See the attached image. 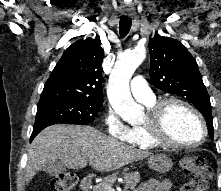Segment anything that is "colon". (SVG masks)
Listing matches in <instances>:
<instances>
[{
	"label": "colon",
	"mask_w": 221,
	"mask_h": 191,
	"mask_svg": "<svg viewBox=\"0 0 221 191\" xmlns=\"http://www.w3.org/2000/svg\"><path fill=\"white\" fill-rule=\"evenodd\" d=\"M180 167L184 174L190 176L182 191H207L212 177V168L199 156H186L180 160ZM77 182L73 173L65 172L55 176L50 182L51 191H72Z\"/></svg>",
	"instance_id": "1"
}]
</instances>
